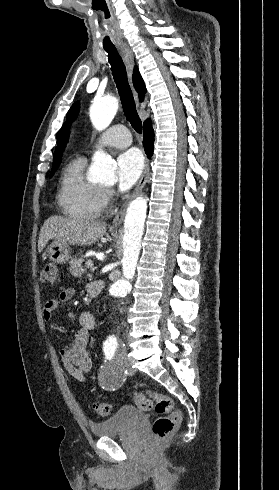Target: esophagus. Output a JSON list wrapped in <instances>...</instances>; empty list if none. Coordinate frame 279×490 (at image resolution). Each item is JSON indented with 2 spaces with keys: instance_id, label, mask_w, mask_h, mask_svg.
<instances>
[{
  "instance_id": "34e87169",
  "label": "esophagus",
  "mask_w": 279,
  "mask_h": 490,
  "mask_svg": "<svg viewBox=\"0 0 279 490\" xmlns=\"http://www.w3.org/2000/svg\"><path fill=\"white\" fill-rule=\"evenodd\" d=\"M119 48H120V53L122 55V58H123V61H124L125 67H126V71H127V74H128L129 81L132 84V74H133V68H134V54H133V51L129 48V46L127 44L120 45ZM132 88H133V93H134L135 101H136L137 105H140L138 94L134 90L133 85H132ZM149 171H150L149 159H146L144 170L142 172V175H141V178L139 180V183L136 186V188H135L134 192L132 193V195L126 200V202L124 203V205L122 206V208H120V210L118 211V213L114 217V220H113V223H112V227H119L121 225V223L123 222L124 216H125V213H126V209H127L128 205L132 202V200L135 197H137V195H139V193L141 192V190L143 189V187L146 185Z\"/></svg>"
}]
</instances>
